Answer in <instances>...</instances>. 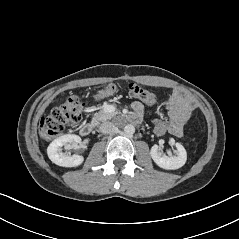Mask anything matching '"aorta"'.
Segmentation results:
<instances>
[{
  "label": "aorta",
  "instance_id": "obj_1",
  "mask_svg": "<svg viewBox=\"0 0 239 239\" xmlns=\"http://www.w3.org/2000/svg\"><path fill=\"white\" fill-rule=\"evenodd\" d=\"M134 132H135V127H134L133 125L128 124V125H126V126L124 127V133H125L126 135L131 136V135L134 134Z\"/></svg>",
  "mask_w": 239,
  "mask_h": 239
}]
</instances>
